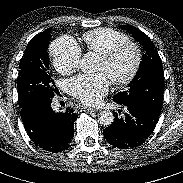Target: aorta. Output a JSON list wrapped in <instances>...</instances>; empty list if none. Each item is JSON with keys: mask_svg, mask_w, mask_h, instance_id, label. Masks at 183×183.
Wrapping results in <instances>:
<instances>
[{"mask_svg": "<svg viewBox=\"0 0 183 183\" xmlns=\"http://www.w3.org/2000/svg\"><path fill=\"white\" fill-rule=\"evenodd\" d=\"M96 56L92 52L84 54L80 61V68L84 73H90L95 70ZM98 120L104 126H110L114 121V115L109 110H104L99 114Z\"/></svg>", "mask_w": 183, "mask_h": 183, "instance_id": "aorta-1", "label": "aorta"}]
</instances>
